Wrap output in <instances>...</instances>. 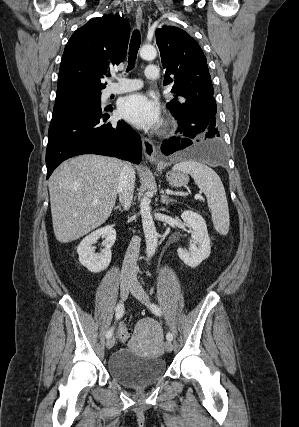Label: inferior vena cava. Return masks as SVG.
<instances>
[{
	"mask_svg": "<svg viewBox=\"0 0 299 427\" xmlns=\"http://www.w3.org/2000/svg\"><path fill=\"white\" fill-rule=\"evenodd\" d=\"M134 183H135V171L132 165L128 162L123 163V168L121 172V179L118 186V195L119 201L123 205L124 209H128L131 206L134 192ZM140 242L141 239L138 236H134L127 248L123 266L122 274L127 275H136L137 268L136 263L140 251Z\"/></svg>",
	"mask_w": 299,
	"mask_h": 427,
	"instance_id": "1",
	"label": "inferior vena cava"
}]
</instances>
